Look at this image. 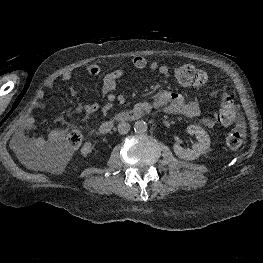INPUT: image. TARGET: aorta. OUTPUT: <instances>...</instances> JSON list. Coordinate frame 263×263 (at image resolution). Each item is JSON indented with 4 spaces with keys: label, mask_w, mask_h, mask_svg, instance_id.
<instances>
[{
    "label": "aorta",
    "mask_w": 263,
    "mask_h": 263,
    "mask_svg": "<svg viewBox=\"0 0 263 263\" xmlns=\"http://www.w3.org/2000/svg\"><path fill=\"white\" fill-rule=\"evenodd\" d=\"M148 129L147 123L143 120L136 121L134 124V131L136 133H145Z\"/></svg>",
    "instance_id": "aorta-1"
}]
</instances>
